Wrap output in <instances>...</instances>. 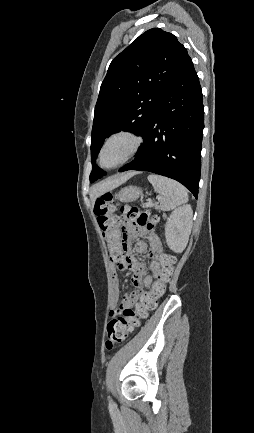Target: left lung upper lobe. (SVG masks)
<instances>
[{
  "label": "left lung upper lobe",
  "mask_w": 254,
  "mask_h": 433,
  "mask_svg": "<svg viewBox=\"0 0 254 433\" xmlns=\"http://www.w3.org/2000/svg\"><path fill=\"white\" fill-rule=\"evenodd\" d=\"M187 55L173 34L152 28L113 59L95 106L90 182L106 174L95 164L104 139L120 130L143 135Z\"/></svg>",
  "instance_id": "5c2ea615"
}]
</instances>
